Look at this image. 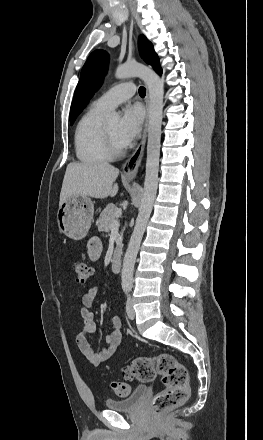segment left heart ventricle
<instances>
[{
    "instance_id": "left-heart-ventricle-1",
    "label": "left heart ventricle",
    "mask_w": 263,
    "mask_h": 440,
    "mask_svg": "<svg viewBox=\"0 0 263 440\" xmlns=\"http://www.w3.org/2000/svg\"><path fill=\"white\" fill-rule=\"evenodd\" d=\"M118 125H119V121L118 120H112V121H108L107 122V126L109 128L111 137L114 141V144L118 147V148H123L124 146L122 145V143L120 142L119 138H118Z\"/></svg>"
}]
</instances>
